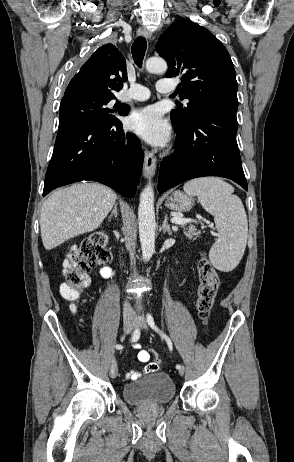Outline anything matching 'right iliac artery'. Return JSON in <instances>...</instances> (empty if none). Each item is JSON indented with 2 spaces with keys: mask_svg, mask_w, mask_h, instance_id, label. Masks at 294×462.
I'll return each instance as SVG.
<instances>
[{
  "mask_svg": "<svg viewBox=\"0 0 294 462\" xmlns=\"http://www.w3.org/2000/svg\"><path fill=\"white\" fill-rule=\"evenodd\" d=\"M140 337V330L138 328H136L133 332V335H132V341H137ZM116 349H122L123 346L120 345V344H117L116 346Z\"/></svg>",
  "mask_w": 294,
  "mask_h": 462,
  "instance_id": "82829eb1",
  "label": "right iliac artery"
}]
</instances>
